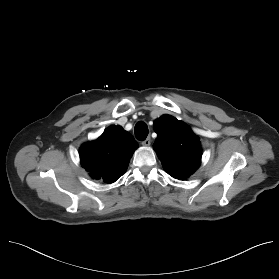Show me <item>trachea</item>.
<instances>
[{
  "label": "trachea",
  "instance_id": "obj_1",
  "mask_svg": "<svg viewBox=\"0 0 279 279\" xmlns=\"http://www.w3.org/2000/svg\"><path fill=\"white\" fill-rule=\"evenodd\" d=\"M135 136L138 140L143 141L146 139L147 135H148V127L147 125L142 122L139 121L136 125H135Z\"/></svg>",
  "mask_w": 279,
  "mask_h": 279
}]
</instances>
